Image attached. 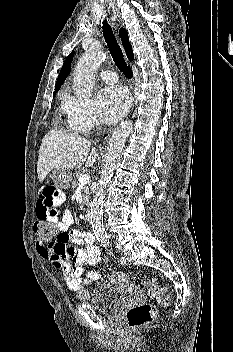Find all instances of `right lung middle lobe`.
I'll return each mask as SVG.
<instances>
[{
  "label": "right lung middle lobe",
  "instance_id": "1",
  "mask_svg": "<svg viewBox=\"0 0 233 352\" xmlns=\"http://www.w3.org/2000/svg\"><path fill=\"white\" fill-rule=\"evenodd\" d=\"M56 92H58V90H56V91L54 92L53 96H55V93H56Z\"/></svg>",
  "mask_w": 233,
  "mask_h": 352
}]
</instances>
